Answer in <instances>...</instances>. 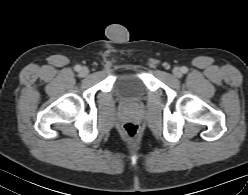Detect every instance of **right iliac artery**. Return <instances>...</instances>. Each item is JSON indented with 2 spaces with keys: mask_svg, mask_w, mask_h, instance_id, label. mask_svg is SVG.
Here are the masks:
<instances>
[{
  "mask_svg": "<svg viewBox=\"0 0 248 195\" xmlns=\"http://www.w3.org/2000/svg\"><path fill=\"white\" fill-rule=\"evenodd\" d=\"M75 70H76V71H80V70H81V66H80V65H76V66H75Z\"/></svg>",
  "mask_w": 248,
  "mask_h": 195,
  "instance_id": "right-iliac-artery-1",
  "label": "right iliac artery"
}]
</instances>
